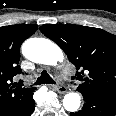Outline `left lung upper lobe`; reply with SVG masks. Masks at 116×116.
<instances>
[{"mask_svg":"<svg viewBox=\"0 0 116 116\" xmlns=\"http://www.w3.org/2000/svg\"><path fill=\"white\" fill-rule=\"evenodd\" d=\"M41 32L58 44L82 81L77 91L116 96V36L80 25L45 24Z\"/></svg>","mask_w":116,"mask_h":116,"instance_id":"1","label":"left lung upper lobe"}]
</instances>
